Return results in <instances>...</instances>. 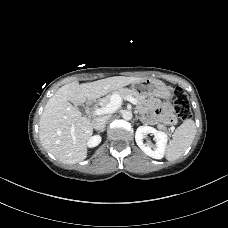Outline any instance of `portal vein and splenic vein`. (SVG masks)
Instances as JSON below:
<instances>
[{
	"mask_svg": "<svg viewBox=\"0 0 228 228\" xmlns=\"http://www.w3.org/2000/svg\"><path fill=\"white\" fill-rule=\"evenodd\" d=\"M125 100L131 102L134 105L137 104V100L133 97L127 96L125 97ZM121 104H122V98L118 95H114L111 97V100L107 105L94 110L93 115L100 116L104 114L114 113L121 106Z\"/></svg>",
	"mask_w": 228,
	"mask_h": 228,
	"instance_id": "1",
	"label": "portal vein and splenic vein"
}]
</instances>
